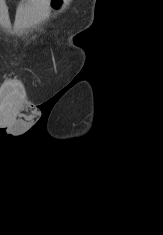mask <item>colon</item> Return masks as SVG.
I'll return each mask as SVG.
<instances>
[{
	"label": "colon",
	"mask_w": 163,
	"mask_h": 235,
	"mask_svg": "<svg viewBox=\"0 0 163 235\" xmlns=\"http://www.w3.org/2000/svg\"><path fill=\"white\" fill-rule=\"evenodd\" d=\"M52 2H53V4H52L53 7L55 9H58L60 7V5H61L62 0H53Z\"/></svg>",
	"instance_id": "colon-1"
}]
</instances>
